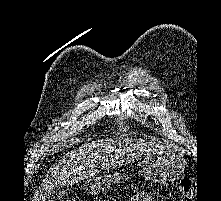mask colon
<instances>
[{"instance_id": "obj_1", "label": "colon", "mask_w": 221, "mask_h": 201, "mask_svg": "<svg viewBox=\"0 0 221 201\" xmlns=\"http://www.w3.org/2000/svg\"><path fill=\"white\" fill-rule=\"evenodd\" d=\"M179 196L182 201H192L194 198V188L189 178H183L179 183Z\"/></svg>"}]
</instances>
